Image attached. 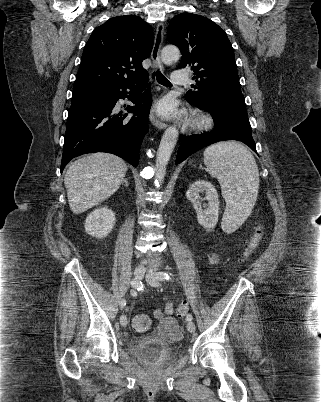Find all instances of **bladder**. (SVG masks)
<instances>
[{"label":"bladder","mask_w":321,"mask_h":402,"mask_svg":"<svg viewBox=\"0 0 321 402\" xmlns=\"http://www.w3.org/2000/svg\"><path fill=\"white\" fill-rule=\"evenodd\" d=\"M177 341L166 343L159 337V334L148 333L135 340L131 352L148 366H167L175 359V345Z\"/></svg>","instance_id":"1"}]
</instances>
